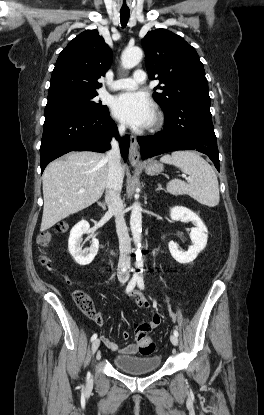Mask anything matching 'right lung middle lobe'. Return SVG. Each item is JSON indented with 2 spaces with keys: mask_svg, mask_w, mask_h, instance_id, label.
Masks as SVG:
<instances>
[{
  "mask_svg": "<svg viewBox=\"0 0 264 415\" xmlns=\"http://www.w3.org/2000/svg\"><path fill=\"white\" fill-rule=\"evenodd\" d=\"M97 92H65L52 97H48L45 107V117L64 114L82 113L92 114L108 110L107 106L102 105L95 97Z\"/></svg>",
  "mask_w": 264,
  "mask_h": 415,
  "instance_id": "right-lung-middle-lobe-1",
  "label": "right lung middle lobe"
}]
</instances>
